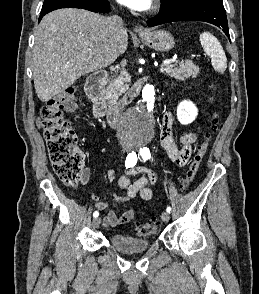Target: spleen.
Masks as SVG:
<instances>
[{
	"mask_svg": "<svg viewBox=\"0 0 259 294\" xmlns=\"http://www.w3.org/2000/svg\"><path fill=\"white\" fill-rule=\"evenodd\" d=\"M200 43L204 52L211 57L214 70L223 73L227 68V58L219 40L209 32H202Z\"/></svg>",
	"mask_w": 259,
	"mask_h": 294,
	"instance_id": "3e777b00",
	"label": "spleen"
}]
</instances>
